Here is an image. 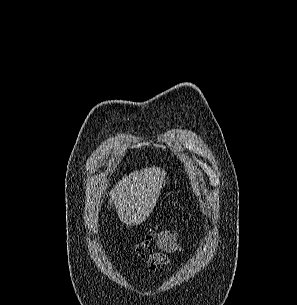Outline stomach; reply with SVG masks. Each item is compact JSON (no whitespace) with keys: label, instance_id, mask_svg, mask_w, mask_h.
Instances as JSON below:
<instances>
[{"label":"stomach","instance_id":"0dacf381","mask_svg":"<svg viewBox=\"0 0 297 305\" xmlns=\"http://www.w3.org/2000/svg\"><path fill=\"white\" fill-rule=\"evenodd\" d=\"M169 183V178L167 177L165 180H164V182H163V186H165L166 184H168Z\"/></svg>","mask_w":297,"mask_h":305}]
</instances>
